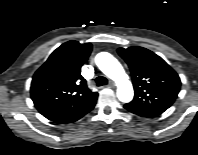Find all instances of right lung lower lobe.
I'll list each match as a JSON object with an SVG mask.
<instances>
[{
  "label": "right lung lower lobe",
  "instance_id": "98d812e1",
  "mask_svg": "<svg viewBox=\"0 0 198 155\" xmlns=\"http://www.w3.org/2000/svg\"><path fill=\"white\" fill-rule=\"evenodd\" d=\"M96 100H97V98L91 100L89 103H87L86 105L81 107L76 112H74L66 117H63L61 119L54 120V122L66 124V123H71V122H74V121L80 119L81 117H83L85 114H87L89 111H91L94 108V106L96 104Z\"/></svg>",
  "mask_w": 198,
  "mask_h": 155
}]
</instances>
